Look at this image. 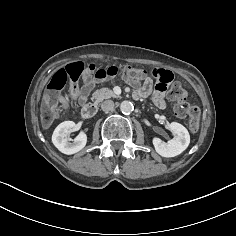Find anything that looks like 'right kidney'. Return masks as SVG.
<instances>
[{
    "instance_id": "obj_1",
    "label": "right kidney",
    "mask_w": 236,
    "mask_h": 236,
    "mask_svg": "<svg viewBox=\"0 0 236 236\" xmlns=\"http://www.w3.org/2000/svg\"><path fill=\"white\" fill-rule=\"evenodd\" d=\"M79 126L73 121H64L54 130L52 142L54 146L62 153L71 155L82 150L87 143V136L81 132L73 142L67 137L71 132L79 130Z\"/></svg>"
}]
</instances>
